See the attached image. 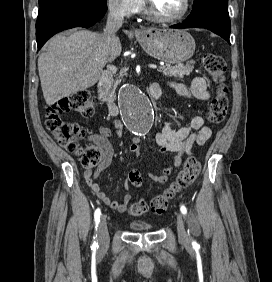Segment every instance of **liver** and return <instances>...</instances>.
Returning a JSON list of instances; mask_svg holds the SVG:
<instances>
[{
    "label": "liver",
    "mask_w": 272,
    "mask_h": 282,
    "mask_svg": "<svg viewBox=\"0 0 272 282\" xmlns=\"http://www.w3.org/2000/svg\"><path fill=\"white\" fill-rule=\"evenodd\" d=\"M121 51L120 39L115 37L109 43L104 33L76 30L52 37L38 58L47 105L96 84L105 65L114 61Z\"/></svg>",
    "instance_id": "liver-1"
}]
</instances>
